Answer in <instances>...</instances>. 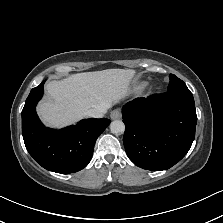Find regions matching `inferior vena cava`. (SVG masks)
I'll return each instance as SVG.
<instances>
[{"label": "inferior vena cava", "instance_id": "602c4592", "mask_svg": "<svg viewBox=\"0 0 223 223\" xmlns=\"http://www.w3.org/2000/svg\"><path fill=\"white\" fill-rule=\"evenodd\" d=\"M110 108L109 104H102L97 106L96 108L89 109L86 112V116L88 117H94V118H102L103 115L107 112V110Z\"/></svg>", "mask_w": 223, "mask_h": 223}]
</instances>
